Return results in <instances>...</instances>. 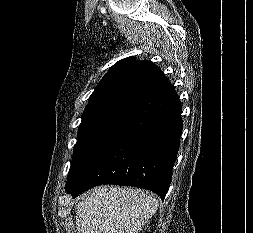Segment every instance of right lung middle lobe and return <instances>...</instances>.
I'll return each instance as SVG.
<instances>
[{"mask_svg": "<svg viewBox=\"0 0 253 233\" xmlns=\"http://www.w3.org/2000/svg\"><path fill=\"white\" fill-rule=\"evenodd\" d=\"M134 104L131 100L117 99L88 105L85 108L68 177Z\"/></svg>", "mask_w": 253, "mask_h": 233, "instance_id": "dd1d6c3e", "label": "right lung middle lobe"}]
</instances>
